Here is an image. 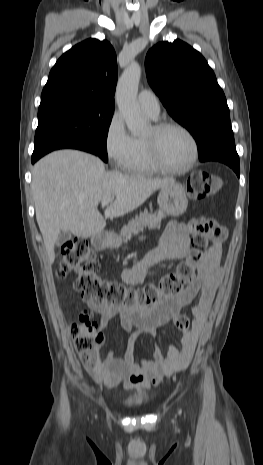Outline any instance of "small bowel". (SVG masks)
<instances>
[{
  "label": "small bowel",
  "instance_id": "obj_1",
  "mask_svg": "<svg viewBox=\"0 0 263 465\" xmlns=\"http://www.w3.org/2000/svg\"><path fill=\"white\" fill-rule=\"evenodd\" d=\"M198 232L199 225L196 220L187 224L169 223L157 246L140 262L122 273L123 283L126 285L140 284L151 266L166 260L186 257L191 250V237ZM208 237L212 240V244L198 267L197 276L181 293L144 310L127 306H110L87 300L88 305L100 315L96 323L99 330L106 328L116 315L119 316L121 331L127 333L133 328L136 329L128 338L122 357H115L113 352L108 350L105 359L90 371L97 383L108 388L119 386L125 389L148 388L158 385L164 376L186 369L193 356L198 334L206 322L220 281L219 265L225 232L216 226L208 233ZM198 295V301L191 307L193 328L183 333L180 348L170 346L164 354L160 346L156 344L151 358H142L137 361L134 357V344L137 337L143 333L157 337V329L170 321L174 322L181 311L190 306Z\"/></svg>",
  "mask_w": 263,
  "mask_h": 465
}]
</instances>
